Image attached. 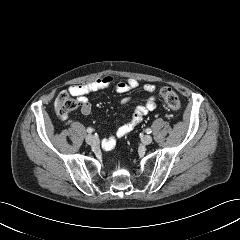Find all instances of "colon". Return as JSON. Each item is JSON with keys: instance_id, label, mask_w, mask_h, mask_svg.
I'll return each instance as SVG.
<instances>
[{"instance_id": "obj_1", "label": "colon", "mask_w": 240, "mask_h": 240, "mask_svg": "<svg viewBox=\"0 0 240 240\" xmlns=\"http://www.w3.org/2000/svg\"><path fill=\"white\" fill-rule=\"evenodd\" d=\"M161 96L170 109L178 110L180 108V99L172 88L168 86L163 87L161 89ZM57 105L60 113L63 115L69 114L78 106L77 102L67 94L59 96Z\"/></svg>"}]
</instances>
